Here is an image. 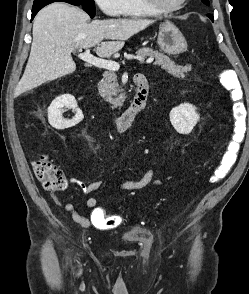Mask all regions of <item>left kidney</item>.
<instances>
[{
	"mask_svg": "<svg viewBox=\"0 0 249 294\" xmlns=\"http://www.w3.org/2000/svg\"><path fill=\"white\" fill-rule=\"evenodd\" d=\"M170 121L174 129L180 134H189L199 121L196 107L189 103H182L170 112Z\"/></svg>",
	"mask_w": 249,
	"mask_h": 294,
	"instance_id": "1",
	"label": "left kidney"
}]
</instances>
